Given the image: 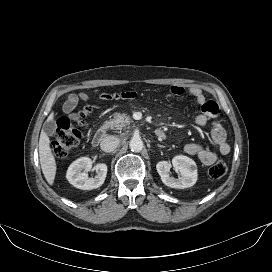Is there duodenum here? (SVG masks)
I'll use <instances>...</instances> for the list:
<instances>
[{
  "label": "duodenum",
  "mask_w": 272,
  "mask_h": 272,
  "mask_svg": "<svg viewBox=\"0 0 272 272\" xmlns=\"http://www.w3.org/2000/svg\"><path fill=\"white\" fill-rule=\"evenodd\" d=\"M106 133H107L106 127H102L101 129H99L93 136L92 139L93 145L98 146L104 140ZM155 136L158 137L159 139H164L166 135L162 130H156Z\"/></svg>",
  "instance_id": "obj_1"
}]
</instances>
